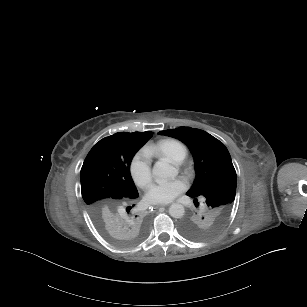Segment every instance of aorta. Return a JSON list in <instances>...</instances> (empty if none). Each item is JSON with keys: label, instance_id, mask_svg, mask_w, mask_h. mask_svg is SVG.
Segmentation results:
<instances>
[{"label": "aorta", "instance_id": "1", "mask_svg": "<svg viewBox=\"0 0 307 307\" xmlns=\"http://www.w3.org/2000/svg\"><path fill=\"white\" fill-rule=\"evenodd\" d=\"M152 174L159 179H174L178 175V169L172 166L167 159L157 161L152 169ZM185 213L184 206L173 203L169 207V214L173 218H182Z\"/></svg>", "mask_w": 307, "mask_h": 307}]
</instances>
